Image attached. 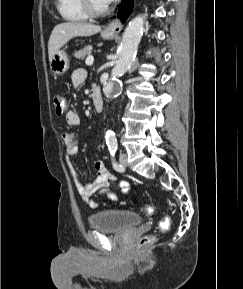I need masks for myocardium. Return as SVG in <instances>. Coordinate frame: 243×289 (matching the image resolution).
Listing matches in <instances>:
<instances>
[{
  "label": "myocardium",
  "mask_w": 243,
  "mask_h": 289,
  "mask_svg": "<svg viewBox=\"0 0 243 289\" xmlns=\"http://www.w3.org/2000/svg\"><path fill=\"white\" fill-rule=\"evenodd\" d=\"M81 5L85 13L89 17H100L108 13L109 8L105 6L104 8L97 9L94 7L92 0H81Z\"/></svg>",
  "instance_id": "f54148a6"
}]
</instances>
